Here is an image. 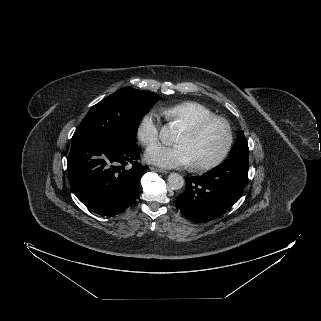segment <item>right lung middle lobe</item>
<instances>
[{"mask_svg": "<svg viewBox=\"0 0 321 321\" xmlns=\"http://www.w3.org/2000/svg\"><path fill=\"white\" fill-rule=\"evenodd\" d=\"M157 101L156 93L121 88L89 110L76 129L72 141L91 138L135 142L142 116Z\"/></svg>", "mask_w": 321, "mask_h": 321, "instance_id": "dd1d6c3e", "label": "right lung middle lobe"}]
</instances>
